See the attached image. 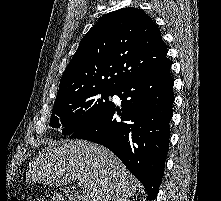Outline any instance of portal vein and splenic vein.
Here are the masks:
<instances>
[{
	"label": "portal vein and splenic vein",
	"mask_w": 221,
	"mask_h": 201,
	"mask_svg": "<svg viewBox=\"0 0 221 201\" xmlns=\"http://www.w3.org/2000/svg\"><path fill=\"white\" fill-rule=\"evenodd\" d=\"M78 185L82 188L83 187V185L80 183V182H78Z\"/></svg>",
	"instance_id": "portal-vein-and-splenic-vein-1"
}]
</instances>
